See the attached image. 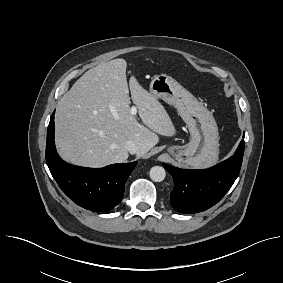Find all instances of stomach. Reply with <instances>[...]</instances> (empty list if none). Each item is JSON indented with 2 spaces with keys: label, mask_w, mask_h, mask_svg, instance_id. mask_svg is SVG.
Returning <instances> with one entry per match:
<instances>
[{
  "label": "stomach",
  "mask_w": 283,
  "mask_h": 283,
  "mask_svg": "<svg viewBox=\"0 0 283 283\" xmlns=\"http://www.w3.org/2000/svg\"><path fill=\"white\" fill-rule=\"evenodd\" d=\"M156 99L173 105L190 132V141L167 150L180 163L194 168L212 166L219 156V132L212 113L172 77L155 76L149 86Z\"/></svg>",
  "instance_id": "obj_1"
}]
</instances>
